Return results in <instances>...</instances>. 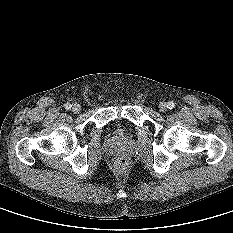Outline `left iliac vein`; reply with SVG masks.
<instances>
[{"mask_svg":"<svg viewBox=\"0 0 233 233\" xmlns=\"http://www.w3.org/2000/svg\"><path fill=\"white\" fill-rule=\"evenodd\" d=\"M159 110L160 112H166L168 110L167 104L165 102H161L159 104Z\"/></svg>","mask_w":233,"mask_h":233,"instance_id":"4c4485c4","label":"left iliac vein"}]
</instances>
